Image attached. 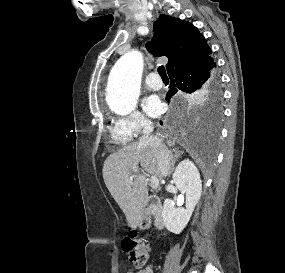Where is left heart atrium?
I'll return each mask as SVG.
<instances>
[{
  "mask_svg": "<svg viewBox=\"0 0 285 273\" xmlns=\"http://www.w3.org/2000/svg\"><path fill=\"white\" fill-rule=\"evenodd\" d=\"M145 112L152 117L160 115L163 111V105L157 96H150L143 103Z\"/></svg>",
  "mask_w": 285,
  "mask_h": 273,
  "instance_id": "left-heart-atrium-1",
  "label": "left heart atrium"
}]
</instances>
